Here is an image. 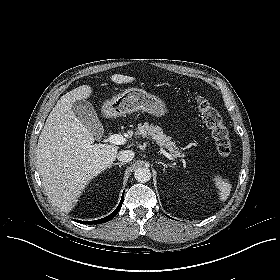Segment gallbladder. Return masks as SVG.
Instances as JSON below:
<instances>
[{"instance_id": "gallbladder-1", "label": "gallbladder", "mask_w": 280, "mask_h": 280, "mask_svg": "<svg viewBox=\"0 0 280 280\" xmlns=\"http://www.w3.org/2000/svg\"><path fill=\"white\" fill-rule=\"evenodd\" d=\"M72 111L79 121L87 127L96 138H101L104 129L99 121L93 105L87 100H76L73 103Z\"/></svg>"}]
</instances>
